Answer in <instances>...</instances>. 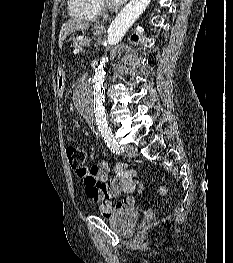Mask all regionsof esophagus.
Masks as SVG:
<instances>
[{"label":"esophagus","mask_w":233,"mask_h":263,"mask_svg":"<svg viewBox=\"0 0 233 263\" xmlns=\"http://www.w3.org/2000/svg\"><path fill=\"white\" fill-rule=\"evenodd\" d=\"M110 20V19H109ZM105 25V21L101 22L100 24L97 25L98 28H103Z\"/></svg>","instance_id":"esophagus-1"}]
</instances>
